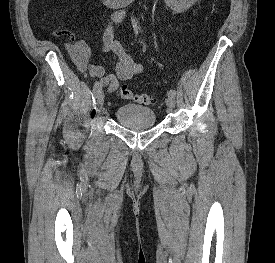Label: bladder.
I'll use <instances>...</instances> for the list:
<instances>
[{"instance_id": "obj_1", "label": "bladder", "mask_w": 275, "mask_h": 263, "mask_svg": "<svg viewBox=\"0 0 275 263\" xmlns=\"http://www.w3.org/2000/svg\"><path fill=\"white\" fill-rule=\"evenodd\" d=\"M117 122L130 129H143L155 125L156 115L149 107L139 105H123L116 109Z\"/></svg>"}]
</instances>
